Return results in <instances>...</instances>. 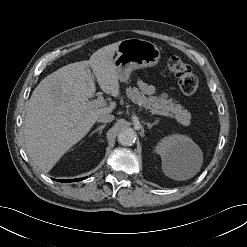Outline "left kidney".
Segmentation results:
<instances>
[{
  "instance_id": "obj_1",
  "label": "left kidney",
  "mask_w": 247,
  "mask_h": 247,
  "mask_svg": "<svg viewBox=\"0 0 247 247\" xmlns=\"http://www.w3.org/2000/svg\"><path fill=\"white\" fill-rule=\"evenodd\" d=\"M155 151L161 156L163 163L175 164L182 158L191 159L199 148L187 136L172 135L162 139Z\"/></svg>"
}]
</instances>
